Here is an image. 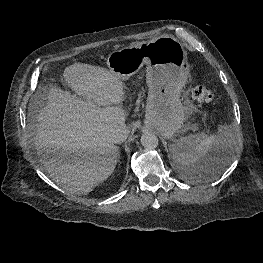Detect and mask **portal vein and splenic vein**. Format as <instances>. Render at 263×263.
I'll list each match as a JSON object with an SVG mask.
<instances>
[{
	"label": "portal vein and splenic vein",
	"instance_id": "18ae733b",
	"mask_svg": "<svg viewBox=\"0 0 263 263\" xmlns=\"http://www.w3.org/2000/svg\"><path fill=\"white\" fill-rule=\"evenodd\" d=\"M88 104L92 105V101L90 99H88Z\"/></svg>",
	"mask_w": 263,
	"mask_h": 263
}]
</instances>
